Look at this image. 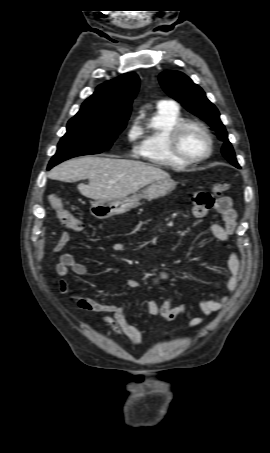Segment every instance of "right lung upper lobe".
Wrapping results in <instances>:
<instances>
[{
    "label": "right lung upper lobe",
    "instance_id": "1",
    "mask_svg": "<svg viewBox=\"0 0 270 453\" xmlns=\"http://www.w3.org/2000/svg\"><path fill=\"white\" fill-rule=\"evenodd\" d=\"M139 88L135 73H125L96 88L75 117H94L112 123L126 124L131 103Z\"/></svg>",
    "mask_w": 270,
    "mask_h": 453
}]
</instances>
